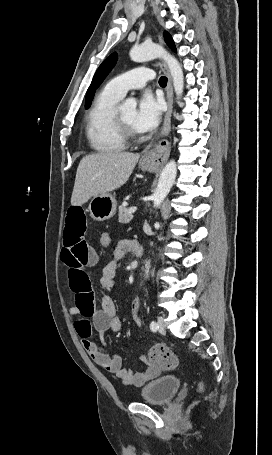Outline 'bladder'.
<instances>
[{"mask_svg":"<svg viewBox=\"0 0 272 455\" xmlns=\"http://www.w3.org/2000/svg\"><path fill=\"white\" fill-rule=\"evenodd\" d=\"M181 386L180 379L172 374L161 375L140 390V398L153 405H162L170 401Z\"/></svg>","mask_w":272,"mask_h":455,"instance_id":"bladder-1","label":"bladder"}]
</instances>
